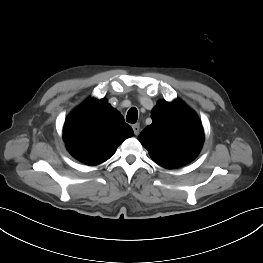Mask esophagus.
Wrapping results in <instances>:
<instances>
[{
	"label": "esophagus",
	"mask_w": 263,
	"mask_h": 263,
	"mask_svg": "<svg viewBox=\"0 0 263 263\" xmlns=\"http://www.w3.org/2000/svg\"><path fill=\"white\" fill-rule=\"evenodd\" d=\"M133 131L135 135H138L140 132V126L138 123L132 125Z\"/></svg>",
	"instance_id": "1"
}]
</instances>
